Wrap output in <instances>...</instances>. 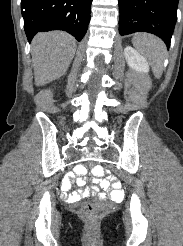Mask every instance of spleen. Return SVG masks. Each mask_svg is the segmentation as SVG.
<instances>
[{"label":"spleen","mask_w":183,"mask_h":246,"mask_svg":"<svg viewBox=\"0 0 183 246\" xmlns=\"http://www.w3.org/2000/svg\"><path fill=\"white\" fill-rule=\"evenodd\" d=\"M132 43L148 59L155 77L159 79L167 52L164 42L154 35L138 33L133 37Z\"/></svg>","instance_id":"3e777b00"}]
</instances>
